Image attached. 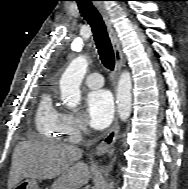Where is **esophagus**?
Here are the masks:
<instances>
[{"instance_id":"1","label":"esophagus","mask_w":188,"mask_h":189,"mask_svg":"<svg viewBox=\"0 0 188 189\" xmlns=\"http://www.w3.org/2000/svg\"><path fill=\"white\" fill-rule=\"evenodd\" d=\"M94 5L96 6V8L98 9V11L100 12V14L103 17V20L107 27V31L109 33V37L111 39V43L113 46L115 62H116L115 73H114V78H115L114 84H116L119 74L121 72L122 65H123V55H122V51H121V47H120V42H119L117 35L112 27V23L109 19V16H108L103 4L99 1H95ZM118 132H119V122H118V116L116 114V117H115L112 127L110 128V130L108 131V133L106 134V136L104 137V139L102 140V142L98 145V147L96 149V154L98 156H101L104 153L109 151V149L114 145V143L117 139Z\"/></svg>"}]
</instances>
